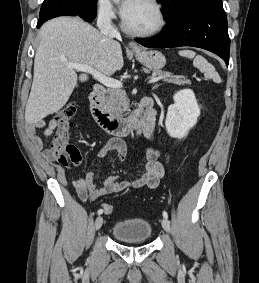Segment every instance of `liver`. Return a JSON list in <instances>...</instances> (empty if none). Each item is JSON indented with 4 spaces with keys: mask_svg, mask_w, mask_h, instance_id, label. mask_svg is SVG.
I'll return each mask as SVG.
<instances>
[{
    "mask_svg": "<svg viewBox=\"0 0 259 283\" xmlns=\"http://www.w3.org/2000/svg\"><path fill=\"white\" fill-rule=\"evenodd\" d=\"M39 38L33 83L25 108V121L29 124L58 112L69 100L77 80H88L87 74L78 77L68 64L88 65L107 76L122 69L124 64L120 44L78 17L47 21L39 31Z\"/></svg>",
    "mask_w": 259,
    "mask_h": 283,
    "instance_id": "liver-1",
    "label": "liver"
}]
</instances>
